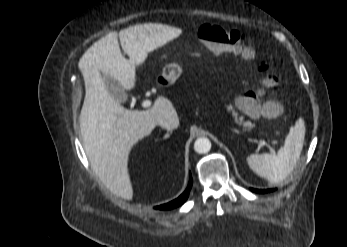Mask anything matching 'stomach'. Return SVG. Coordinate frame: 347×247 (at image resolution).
Masks as SVG:
<instances>
[{"instance_id": "obj_1", "label": "stomach", "mask_w": 347, "mask_h": 247, "mask_svg": "<svg viewBox=\"0 0 347 247\" xmlns=\"http://www.w3.org/2000/svg\"><path fill=\"white\" fill-rule=\"evenodd\" d=\"M180 73H181L180 67L174 64H169L163 68L161 77L164 79V81L167 84H173L176 81V79L179 77Z\"/></svg>"}]
</instances>
